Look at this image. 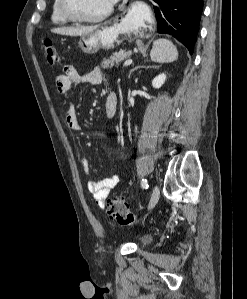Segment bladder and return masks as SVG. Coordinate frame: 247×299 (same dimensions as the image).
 I'll use <instances>...</instances> for the list:
<instances>
[{
	"label": "bladder",
	"mask_w": 247,
	"mask_h": 299,
	"mask_svg": "<svg viewBox=\"0 0 247 299\" xmlns=\"http://www.w3.org/2000/svg\"><path fill=\"white\" fill-rule=\"evenodd\" d=\"M152 241V237L150 235H143L139 238V242L141 245H148Z\"/></svg>",
	"instance_id": "bladder-1"
}]
</instances>
